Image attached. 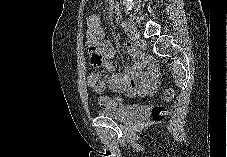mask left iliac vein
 <instances>
[{"mask_svg":"<svg viewBox=\"0 0 227 157\" xmlns=\"http://www.w3.org/2000/svg\"><path fill=\"white\" fill-rule=\"evenodd\" d=\"M129 29H130L132 40L134 41L135 45L138 46L141 49H145L146 48V42L140 37V35L136 31V29L133 28L130 24H129Z\"/></svg>","mask_w":227,"mask_h":157,"instance_id":"left-iliac-vein-1","label":"left iliac vein"}]
</instances>
